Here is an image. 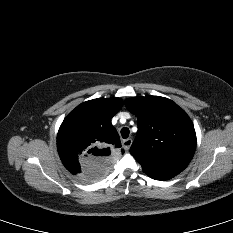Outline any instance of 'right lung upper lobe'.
Returning <instances> with one entry per match:
<instances>
[{
  "label": "right lung upper lobe",
  "mask_w": 233,
  "mask_h": 233,
  "mask_svg": "<svg viewBox=\"0 0 233 233\" xmlns=\"http://www.w3.org/2000/svg\"><path fill=\"white\" fill-rule=\"evenodd\" d=\"M122 105L119 98L89 100L78 105L61 124L58 153L66 169L79 180L90 183L104 179L118 161L121 143L111 119Z\"/></svg>",
  "instance_id": "cb5924a9"
}]
</instances>
